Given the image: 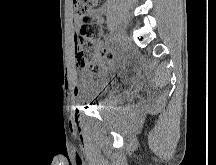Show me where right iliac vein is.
<instances>
[{"instance_id": "right-iliac-vein-1", "label": "right iliac vein", "mask_w": 216, "mask_h": 165, "mask_svg": "<svg viewBox=\"0 0 216 165\" xmlns=\"http://www.w3.org/2000/svg\"><path fill=\"white\" fill-rule=\"evenodd\" d=\"M126 36L124 30L122 28L117 29L115 33V41L117 45H121V43L125 40Z\"/></svg>"}]
</instances>
